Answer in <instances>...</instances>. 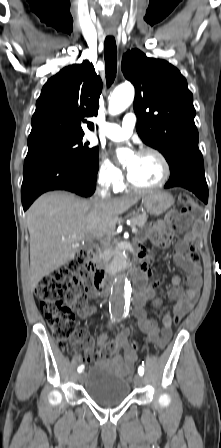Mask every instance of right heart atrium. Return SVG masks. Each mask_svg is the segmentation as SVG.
I'll return each mask as SVG.
<instances>
[{"label":"right heart atrium","mask_w":221,"mask_h":448,"mask_svg":"<svg viewBox=\"0 0 221 448\" xmlns=\"http://www.w3.org/2000/svg\"><path fill=\"white\" fill-rule=\"evenodd\" d=\"M98 181L107 188H118L123 180L120 169L108 158L101 157L98 164Z\"/></svg>","instance_id":"obj_1"}]
</instances>
